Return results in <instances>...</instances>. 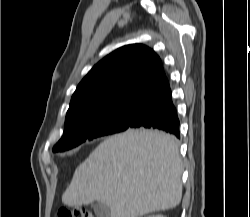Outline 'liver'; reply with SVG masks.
Masks as SVG:
<instances>
[{
	"instance_id": "1",
	"label": "liver",
	"mask_w": 250,
	"mask_h": 217,
	"mask_svg": "<svg viewBox=\"0 0 250 217\" xmlns=\"http://www.w3.org/2000/svg\"><path fill=\"white\" fill-rule=\"evenodd\" d=\"M179 143L164 132L128 129L101 142L75 170L67 206L95 201L110 217H138L176 207L182 198Z\"/></svg>"
}]
</instances>
